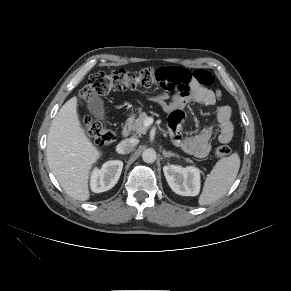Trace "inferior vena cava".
<instances>
[{"label":"inferior vena cava","instance_id":"inferior-vena-cava-1","mask_svg":"<svg viewBox=\"0 0 291 291\" xmlns=\"http://www.w3.org/2000/svg\"><path fill=\"white\" fill-rule=\"evenodd\" d=\"M137 141L135 139H124L117 146V152L120 154H129L136 146Z\"/></svg>","mask_w":291,"mask_h":291}]
</instances>
